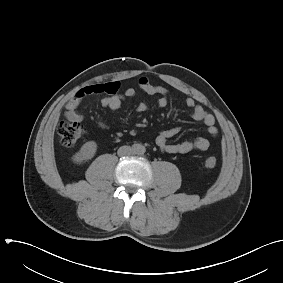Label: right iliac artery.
<instances>
[{
  "label": "right iliac artery",
  "instance_id": "1",
  "mask_svg": "<svg viewBox=\"0 0 283 283\" xmlns=\"http://www.w3.org/2000/svg\"><path fill=\"white\" fill-rule=\"evenodd\" d=\"M133 149H134V150L136 149V145H133Z\"/></svg>",
  "mask_w": 283,
  "mask_h": 283
}]
</instances>
